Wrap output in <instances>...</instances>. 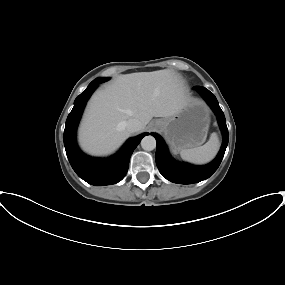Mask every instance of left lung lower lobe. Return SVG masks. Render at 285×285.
Wrapping results in <instances>:
<instances>
[{
    "instance_id": "left-lung-lower-lobe-1",
    "label": "left lung lower lobe",
    "mask_w": 285,
    "mask_h": 285,
    "mask_svg": "<svg viewBox=\"0 0 285 285\" xmlns=\"http://www.w3.org/2000/svg\"><path fill=\"white\" fill-rule=\"evenodd\" d=\"M193 88L201 94L216 114L223 134V143L218 156L210 164L205 166H193L187 163H178L172 159L163 139L158 134L152 133L157 142L156 164L160 173L169 181L179 184H192L209 178L219 167L228 145L226 120L216 97L204 87L195 86Z\"/></svg>"
}]
</instances>
